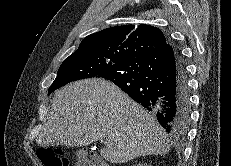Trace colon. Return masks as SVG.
Masks as SVG:
<instances>
[{
	"label": "colon",
	"mask_w": 231,
	"mask_h": 166,
	"mask_svg": "<svg viewBox=\"0 0 231 166\" xmlns=\"http://www.w3.org/2000/svg\"><path fill=\"white\" fill-rule=\"evenodd\" d=\"M37 156L44 166H68V160L60 149H41ZM86 166H107L104 164H88Z\"/></svg>",
	"instance_id": "5ec220e1"
}]
</instances>
